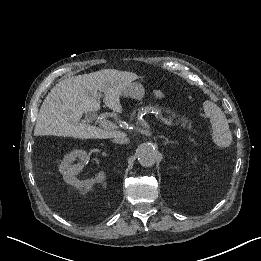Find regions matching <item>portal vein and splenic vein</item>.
<instances>
[{"instance_id":"1","label":"portal vein and splenic vein","mask_w":261,"mask_h":261,"mask_svg":"<svg viewBox=\"0 0 261 261\" xmlns=\"http://www.w3.org/2000/svg\"><path fill=\"white\" fill-rule=\"evenodd\" d=\"M158 118L162 120L164 123H166L169 127H172V129H177V124H174L173 120L169 116H165L163 113H160L158 115ZM115 128H116V124L114 123H111L108 126V129H115Z\"/></svg>"}]
</instances>
